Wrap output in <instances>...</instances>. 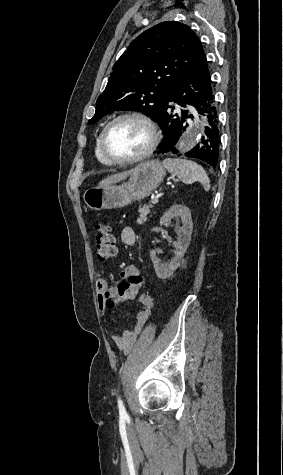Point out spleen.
I'll use <instances>...</instances> for the list:
<instances>
[{
  "mask_svg": "<svg viewBox=\"0 0 283 475\" xmlns=\"http://www.w3.org/2000/svg\"><path fill=\"white\" fill-rule=\"evenodd\" d=\"M163 164L166 170L171 172L173 176H177L183 184L200 182L206 192L210 190V180L202 166H199L196 162H191V160H179V158H176V160L167 158Z\"/></svg>",
  "mask_w": 283,
  "mask_h": 475,
  "instance_id": "1",
  "label": "spleen"
}]
</instances>
